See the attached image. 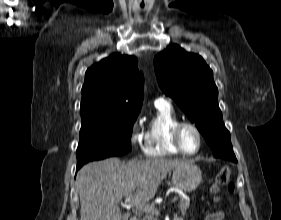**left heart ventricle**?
Returning a JSON list of instances; mask_svg holds the SVG:
<instances>
[{
    "instance_id": "b2bd125f",
    "label": "left heart ventricle",
    "mask_w": 281,
    "mask_h": 220,
    "mask_svg": "<svg viewBox=\"0 0 281 220\" xmlns=\"http://www.w3.org/2000/svg\"><path fill=\"white\" fill-rule=\"evenodd\" d=\"M181 141L184 149L188 152H193L198 147V137L194 130L185 128L181 134Z\"/></svg>"
}]
</instances>
